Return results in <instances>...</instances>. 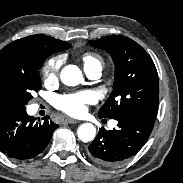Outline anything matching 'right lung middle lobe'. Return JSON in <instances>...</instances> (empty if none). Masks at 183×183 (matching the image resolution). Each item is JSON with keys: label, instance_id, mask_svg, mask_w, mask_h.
<instances>
[{"label": "right lung middle lobe", "instance_id": "obj_1", "mask_svg": "<svg viewBox=\"0 0 183 183\" xmlns=\"http://www.w3.org/2000/svg\"><path fill=\"white\" fill-rule=\"evenodd\" d=\"M47 56L37 55L33 57L24 69L13 75L0 79V102L9 109H23L33 97V91L41 88L39 69Z\"/></svg>", "mask_w": 183, "mask_h": 183}]
</instances>
